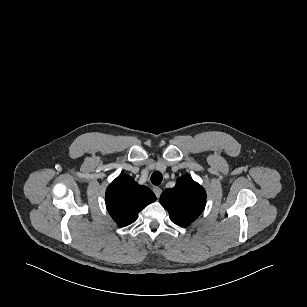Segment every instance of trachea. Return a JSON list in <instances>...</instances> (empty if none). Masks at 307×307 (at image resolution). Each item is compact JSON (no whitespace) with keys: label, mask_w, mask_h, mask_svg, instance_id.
Wrapping results in <instances>:
<instances>
[{"label":"trachea","mask_w":307,"mask_h":307,"mask_svg":"<svg viewBox=\"0 0 307 307\" xmlns=\"http://www.w3.org/2000/svg\"><path fill=\"white\" fill-rule=\"evenodd\" d=\"M163 176L160 172L155 171L152 175H151V182L153 185H159L162 182Z\"/></svg>","instance_id":"1"}]
</instances>
